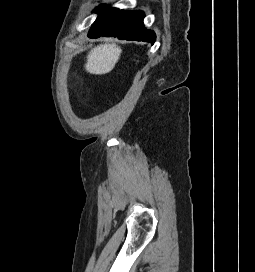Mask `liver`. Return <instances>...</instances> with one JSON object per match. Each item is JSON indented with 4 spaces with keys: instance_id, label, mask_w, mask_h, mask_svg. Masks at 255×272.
Here are the masks:
<instances>
[{
    "instance_id": "6515ba94",
    "label": "liver",
    "mask_w": 255,
    "mask_h": 272,
    "mask_svg": "<svg viewBox=\"0 0 255 272\" xmlns=\"http://www.w3.org/2000/svg\"><path fill=\"white\" fill-rule=\"evenodd\" d=\"M121 53V48L115 43L100 44L88 53L85 69L94 75L107 74L113 70Z\"/></svg>"
}]
</instances>
